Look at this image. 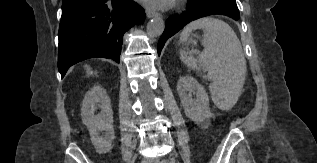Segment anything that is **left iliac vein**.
<instances>
[{
  "label": "left iliac vein",
  "instance_id": "4c4485c4",
  "mask_svg": "<svg viewBox=\"0 0 317 163\" xmlns=\"http://www.w3.org/2000/svg\"><path fill=\"white\" fill-rule=\"evenodd\" d=\"M155 163H161V162H159V161H156ZM167 163H173L172 161H168Z\"/></svg>",
  "mask_w": 317,
  "mask_h": 163
}]
</instances>
